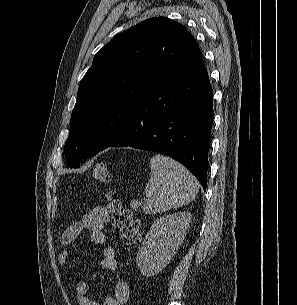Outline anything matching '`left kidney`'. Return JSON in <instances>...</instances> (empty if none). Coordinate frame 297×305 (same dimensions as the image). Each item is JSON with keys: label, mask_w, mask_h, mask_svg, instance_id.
<instances>
[{"label": "left kidney", "mask_w": 297, "mask_h": 305, "mask_svg": "<svg viewBox=\"0 0 297 305\" xmlns=\"http://www.w3.org/2000/svg\"><path fill=\"white\" fill-rule=\"evenodd\" d=\"M191 222L189 212H178L157 219L137 253V266L143 276L158 274L177 253Z\"/></svg>", "instance_id": "left-kidney-1"}]
</instances>
